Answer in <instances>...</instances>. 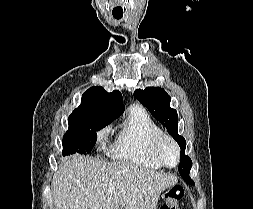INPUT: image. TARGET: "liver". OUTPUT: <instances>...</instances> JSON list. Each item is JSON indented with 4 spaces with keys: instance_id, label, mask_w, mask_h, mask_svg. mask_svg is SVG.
<instances>
[{
    "instance_id": "1",
    "label": "liver",
    "mask_w": 253,
    "mask_h": 209,
    "mask_svg": "<svg viewBox=\"0 0 253 209\" xmlns=\"http://www.w3.org/2000/svg\"><path fill=\"white\" fill-rule=\"evenodd\" d=\"M177 177L91 157H65L54 174L55 209H156L159 196Z\"/></svg>"
}]
</instances>
